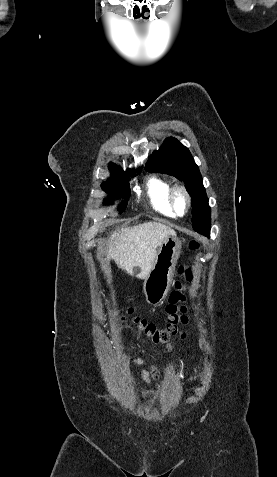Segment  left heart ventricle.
<instances>
[{
    "label": "left heart ventricle",
    "mask_w": 277,
    "mask_h": 477,
    "mask_svg": "<svg viewBox=\"0 0 277 477\" xmlns=\"http://www.w3.org/2000/svg\"><path fill=\"white\" fill-rule=\"evenodd\" d=\"M176 201H177L178 209H179L180 211H183L184 208H185V199H184V197H183L182 195H178Z\"/></svg>",
    "instance_id": "b2bd125f"
}]
</instances>
